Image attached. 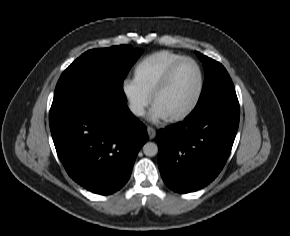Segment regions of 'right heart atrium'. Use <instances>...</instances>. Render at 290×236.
Listing matches in <instances>:
<instances>
[{
	"mask_svg": "<svg viewBox=\"0 0 290 236\" xmlns=\"http://www.w3.org/2000/svg\"><path fill=\"white\" fill-rule=\"evenodd\" d=\"M125 94L131 110L137 115L143 114L147 105V97L145 93L132 83L127 82L125 84Z\"/></svg>",
	"mask_w": 290,
	"mask_h": 236,
	"instance_id": "right-heart-atrium-1",
	"label": "right heart atrium"
}]
</instances>
